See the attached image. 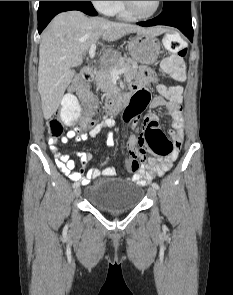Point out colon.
I'll return each mask as SVG.
<instances>
[{
    "instance_id": "5ec220e1",
    "label": "colon",
    "mask_w": 233,
    "mask_h": 295,
    "mask_svg": "<svg viewBox=\"0 0 233 295\" xmlns=\"http://www.w3.org/2000/svg\"><path fill=\"white\" fill-rule=\"evenodd\" d=\"M164 47L172 54L170 58L164 61V71L173 79L183 81L185 79V70L183 58L187 53V45L184 39L176 32H169L163 38ZM87 80L83 77L76 78L64 97L62 106L59 108L58 117H52L48 120L47 126L51 137H59L64 131L63 121H74L80 115V105L78 98L83 101H90L91 92L87 86ZM158 91L170 97H176L182 93L180 86L159 85ZM97 113L96 105L89 102L84 111L82 121L92 125V118ZM136 145L131 148V156L126 159L125 166L130 172H137L146 154L150 153L156 156H167L173 150V142L168 139L160 128L148 126L143 134L140 135Z\"/></svg>"
}]
</instances>
